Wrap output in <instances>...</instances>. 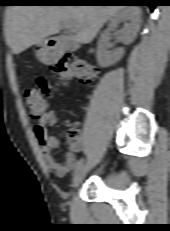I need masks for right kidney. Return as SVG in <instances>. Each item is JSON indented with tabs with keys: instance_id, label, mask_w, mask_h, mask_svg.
<instances>
[{
	"instance_id": "1",
	"label": "right kidney",
	"mask_w": 170,
	"mask_h": 231,
	"mask_svg": "<svg viewBox=\"0 0 170 231\" xmlns=\"http://www.w3.org/2000/svg\"><path fill=\"white\" fill-rule=\"evenodd\" d=\"M121 22H126L127 28L120 32L119 39L123 44L129 45L134 41L139 31L141 10L135 6L125 7L112 17L108 28L101 34L98 42L97 62L101 67H108L116 63L124 54L123 47L116 49L114 52L107 51L110 32L114 31Z\"/></svg>"
}]
</instances>
